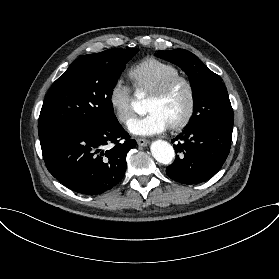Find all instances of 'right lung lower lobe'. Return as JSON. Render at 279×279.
Returning a JSON list of instances; mask_svg holds the SVG:
<instances>
[{
	"label": "right lung lower lobe",
	"instance_id": "right-lung-lower-lobe-1",
	"mask_svg": "<svg viewBox=\"0 0 279 279\" xmlns=\"http://www.w3.org/2000/svg\"><path fill=\"white\" fill-rule=\"evenodd\" d=\"M111 143L114 146L106 150L104 146ZM135 146L136 141L117 121L66 133L41 148L47 169L59 182L93 196L121 181L127 152Z\"/></svg>",
	"mask_w": 279,
	"mask_h": 279
}]
</instances>
